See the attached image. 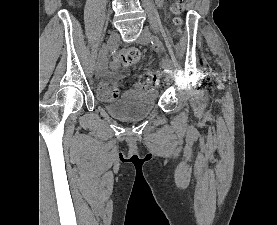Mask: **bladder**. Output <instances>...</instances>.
<instances>
[{
	"mask_svg": "<svg viewBox=\"0 0 277 225\" xmlns=\"http://www.w3.org/2000/svg\"><path fill=\"white\" fill-rule=\"evenodd\" d=\"M158 92L131 89L106 104V110L121 120H142L156 108Z\"/></svg>",
	"mask_w": 277,
	"mask_h": 225,
	"instance_id": "1",
	"label": "bladder"
}]
</instances>
